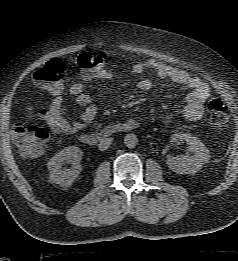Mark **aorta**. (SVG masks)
Returning <instances> with one entry per match:
<instances>
[{
    "label": "aorta",
    "instance_id": "obj_1",
    "mask_svg": "<svg viewBox=\"0 0 238 261\" xmlns=\"http://www.w3.org/2000/svg\"><path fill=\"white\" fill-rule=\"evenodd\" d=\"M138 143V138L134 133H129L124 137V144L128 148H134Z\"/></svg>",
    "mask_w": 238,
    "mask_h": 261
}]
</instances>
